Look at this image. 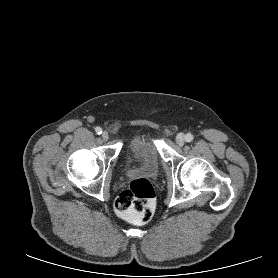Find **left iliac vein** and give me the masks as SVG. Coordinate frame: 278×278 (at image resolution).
Wrapping results in <instances>:
<instances>
[{"instance_id":"4c4485c4","label":"left iliac vein","mask_w":278,"mask_h":278,"mask_svg":"<svg viewBox=\"0 0 278 278\" xmlns=\"http://www.w3.org/2000/svg\"><path fill=\"white\" fill-rule=\"evenodd\" d=\"M176 143L179 145V146H183L184 143H185V138H184V135L182 133H179L177 136H176Z\"/></svg>"}]
</instances>
